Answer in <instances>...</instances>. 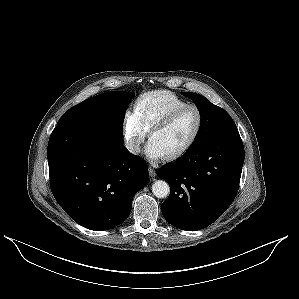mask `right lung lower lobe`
I'll list each match as a JSON object with an SVG mask.
<instances>
[{
	"mask_svg": "<svg viewBox=\"0 0 299 299\" xmlns=\"http://www.w3.org/2000/svg\"><path fill=\"white\" fill-rule=\"evenodd\" d=\"M52 193L80 225L108 230L124 222L148 182L144 160L101 132L56 126L47 149Z\"/></svg>",
	"mask_w": 299,
	"mask_h": 299,
	"instance_id": "obj_1",
	"label": "right lung lower lobe"
}]
</instances>
